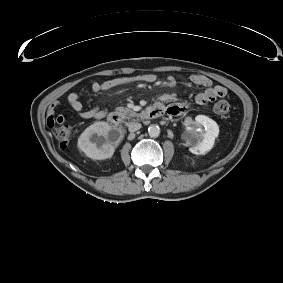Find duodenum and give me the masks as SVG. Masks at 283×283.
<instances>
[{
  "mask_svg": "<svg viewBox=\"0 0 283 283\" xmlns=\"http://www.w3.org/2000/svg\"><path fill=\"white\" fill-rule=\"evenodd\" d=\"M162 114H163V108L160 104H158L147 110L146 117L152 118V117L160 116ZM108 121L110 124L118 126L121 124L122 118L117 112H111L108 115Z\"/></svg>",
  "mask_w": 283,
  "mask_h": 283,
  "instance_id": "obj_1",
  "label": "duodenum"
}]
</instances>
